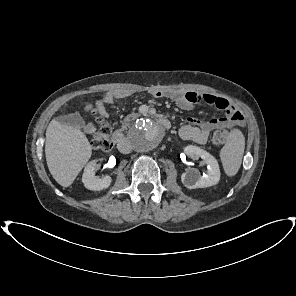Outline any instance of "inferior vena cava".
Segmentation results:
<instances>
[{
  "mask_svg": "<svg viewBox=\"0 0 296 296\" xmlns=\"http://www.w3.org/2000/svg\"><path fill=\"white\" fill-rule=\"evenodd\" d=\"M124 144H125V146H124ZM119 149L123 153H129L130 152V144L128 143V141H125V143H123V145L119 146Z\"/></svg>",
  "mask_w": 296,
  "mask_h": 296,
  "instance_id": "obj_1",
  "label": "inferior vena cava"
}]
</instances>
